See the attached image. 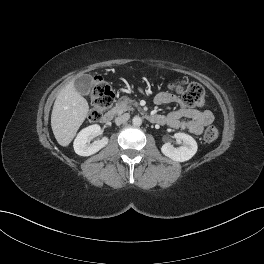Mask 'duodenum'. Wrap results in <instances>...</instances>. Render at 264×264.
I'll return each mask as SVG.
<instances>
[{
  "mask_svg": "<svg viewBox=\"0 0 264 264\" xmlns=\"http://www.w3.org/2000/svg\"><path fill=\"white\" fill-rule=\"evenodd\" d=\"M116 115V110H110L101 117V122L104 124H108L114 119ZM146 117L152 123L160 124L163 121V118L160 115H147Z\"/></svg>",
  "mask_w": 264,
  "mask_h": 264,
  "instance_id": "obj_1",
  "label": "duodenum"
}]
</instances>
